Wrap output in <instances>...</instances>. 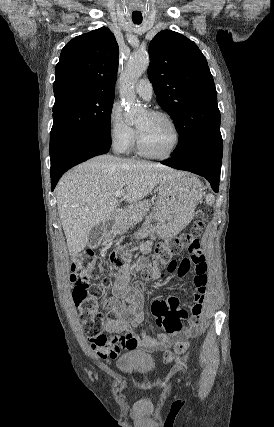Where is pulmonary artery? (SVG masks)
Returning <instances> with one entry per match:
<instances>
[{
  "mask_svg": "<svg viewBox=\"0 0 274 427\" xmlns=\"http://www.w3.org/2000/svg\"><path fill=\"white\" fill-rule=\"evenodd\" d=\"M135 91L144 100H150L153 94V87L149 79L142 78L137 82Z\"/></svg>",
  "mask_w": 274,
  "mask_h": 427,
  "instance_id": "1",
  "label": "pulmonary artery"
}]
</instances>
